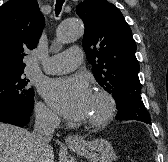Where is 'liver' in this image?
I'll return each instance as SVG.
<instances>
[{
	"label": "liver",
	"mask_w": 168,
	"mask_h": 162,
	"mask_svg": "<svg viewBox=\"0 0 168 162\" xmlns=\"http://www.w3.org/2000/svg\"><path fill=\"white\" fill-rule=\"evenodd\" d=\"M32 134L26 129L0 123V162H54L53 148L41 151L34 160Z\"/></svg>",
	"instance_id": "obj_1"
}]
</instances>
